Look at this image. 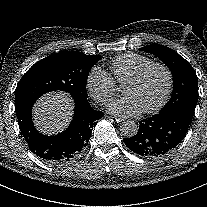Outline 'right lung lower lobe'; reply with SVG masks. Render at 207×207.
<instances>
[{"mask_svg": "<svg viewBox=\"0 0 207 207\" xmlns=\"http://www.w3.org/2000/svg\"><path fill=\"white\" fill-rule=\"evenodd\" d=\"M74 103V116L69 127L53 136L43 135L34 127L31 115L33 104L15 110L20 131L30 150L50 164L63 165L79 157L97 121L104 116L103 112L94 110L87 100H74Z\"/></svg>", "mask_w": 207, "mask_h": 207, "instance_id": "1", "label": "right lung lower lobe"}]
</instances>
